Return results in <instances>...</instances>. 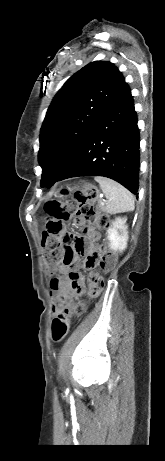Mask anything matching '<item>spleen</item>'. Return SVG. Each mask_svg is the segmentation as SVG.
<instances>
[{"label": "spleen", "instance_id": "1", "mask_svg": "<svg viewBox=\"0 0 165 461\" xmlns=\"http://www.w3.org/2000/svg\"><path fill=\"white\" fill-rule=\"evenodd\" d=\"M102 192L108 199L104 210L110 214L130 212L134 210V197L132 193L121 184L105 177H95Z\"/></svg>", "mask_w": 165, "mask_h": 461}]
</instances>
